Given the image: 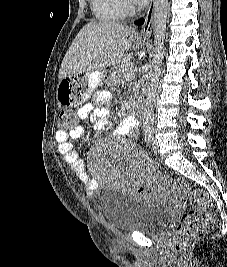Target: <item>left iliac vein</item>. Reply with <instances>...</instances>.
<instances>
[{
    "instance_id": "4c4485c4",
    "label": "left iliac vein",
    "mask_w": 227,
    "mask_h": 267,
    "mask_svg": "<svg viewBox=\"0 0 227 267\" xmlns=\"http://www.w3.org/2000/svg\"><path fill=\"white\" fill-rule=\"evenodd\" d=\"M151 142H152V150L155 154H157L159 151L157 139L155 137H151Z\"/></svg>"
}]
</instances>
